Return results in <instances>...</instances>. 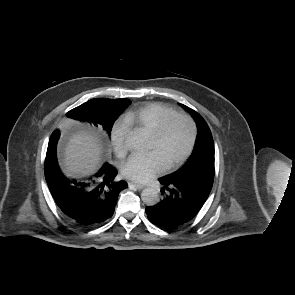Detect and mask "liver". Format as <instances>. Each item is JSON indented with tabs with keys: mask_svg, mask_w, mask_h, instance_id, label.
<instances>
[{
	"mask_svg": "<svg viewBox=\"0 0 295 295\" xmlns=\"http://www.w3.org/2000/svg\"><path fill=\"white\" fill-rule=\"evenodd\" d=\"M102 146L99 140L88 133H78L68 142L63 168L70 176H86L95 172L101 161Z\"/></svg>",
	"mask_w": 295,
	"mask_h": 295,
	"instance_id": "obj_1",
	"label": "liver"
}]
</instances>
